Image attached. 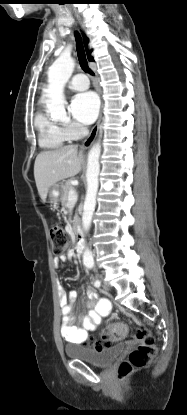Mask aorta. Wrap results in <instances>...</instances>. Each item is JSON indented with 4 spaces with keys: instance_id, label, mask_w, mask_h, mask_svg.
Segmentation results:
<instances>
[{
    "instance_id": "obj_1",
    "label": "aorta",
    "mask_w": 187,
    "mask_h": 415,
    "mask_svg": "<svg viewBox=\"0 0 187 415\" xmlns=\"http://www.w3.org/2000/svg\"><path fill=\"white\" fill-rule=\"evenodd\" d=\"M75 67L74 60L65 55L58 57L48 69V101L47 110L52 118L64 119L66 117L64 86L70 79ZM101 146L96 143L88 153L87 162V191L84 201L82 226L85 232H88L92 222V216L96 207V196L99 187L100 164L99 157ZM83 261L86 265L94 263L90 250H86L83 255Z\"/></svg>"
}]
</instances>
